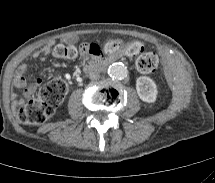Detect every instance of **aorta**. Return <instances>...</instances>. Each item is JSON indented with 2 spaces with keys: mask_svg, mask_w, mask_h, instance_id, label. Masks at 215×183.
Returning a JSON list of instances; mask_svg holds the SVG:
<instances>
[{
  "mask_svg": "<svg viewBox=\"0 0 215 183\" xmlns=\"http://www.w3.org/2000/svg\"><path fill=\"white\" fill-rule=\"evenodd\" d=\"M108 74L116 79H123L127 76L128 70L123 63L116 62L109 66Z\"/></svg>",
  "mask_w": 215,
  "mask_h": 183,
  "instance_id": "obj_1",
  "label": "aorta"
}]
</instances>
